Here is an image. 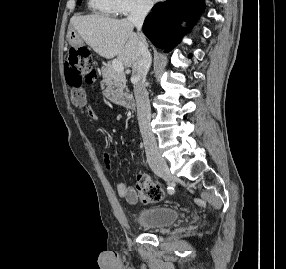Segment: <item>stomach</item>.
I'll use <instances>...</instances> for the list:
<instances>
[{"mask_svg":"<svg viewBox=\"0 0 286 269\" xmlns=\"http://www.w3.org/2000/svg\"><path fill=\"white\" fill-rule=\"evenodd\" d=\"M67 40L69 44L74 46H79L83 43L82 37L75 30H69Z\"/></svg>","mask_w":286,"mask_h":269,"instance_id":"0dacf381","label":"stomach"}]
</instances>
